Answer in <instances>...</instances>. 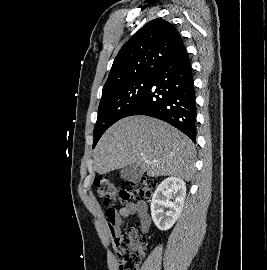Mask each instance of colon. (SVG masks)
Segmentation results:
<instances>
[{
	"label": "colon",
	"instance_id": "colon-1",
	"mask_svg": "<svg viewBox=\"0 0 267 270\" xmlns=\"http://www.w3.org/2000/svg\"><path fill=\"white\" fill-rule=\"evenodd\" d=\"M96 196L103 200L107 212L113 213L114 202L117 197L121 200L141 201L151 197L156 181L149 177H142L118 186L107 176H98L94 180ZM145 237L143 231L137 227L119 231L114 236V244L119 260L120 270H139L144 254Z\"/></svg>",
	"mask_w": 267,
	"mask_h": 270
}]
</instances>
